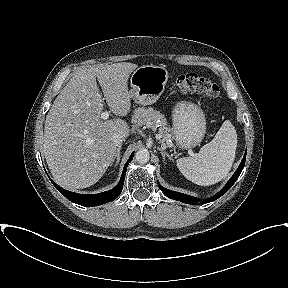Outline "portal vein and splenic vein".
Segmentation results:
<instances>
[{
  "label": "portal vein and splenic vein",
  "instance_id": "portal-vein-and-splenic-vein-1",
  "mask_svg": "<svg viewBox=\"0 0 288 288\" xmlns=\"http://www.w3.org/2000/svg\"><path fill=\"white\" fill-rule=\"evenodd\" d=\"M109 112L108 111H104V112H102L101 113V118L103 119V120H106V119H108L109 118Z\"/></svg>",
  "mask_w": 288,
  "mask_h": 288
}]
</instances>
